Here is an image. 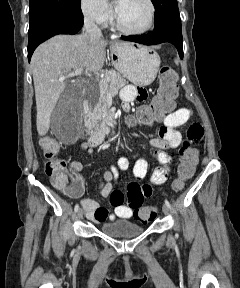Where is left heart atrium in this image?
I'll use <instances>...</instances> for the list:
<instances>
[{"label": "left heart atrium", "mask_w": 240, "mask_h": 288, "mask_svg": "<svg viewBox=\"0 0 240 288\" xmlns=\"http://www.w3.org/2000/svg\"><path fill=\"white\" fill-rule=\"evenodd\" d=\"M116 8L118 9V0H117V2H116Z\"/></svg>", "instance_id": "left-heart-atrium-1"}]
</instances>
